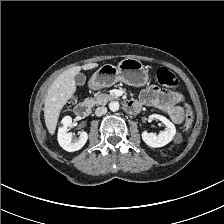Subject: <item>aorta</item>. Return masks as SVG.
Instances as JSON below:
<instances>
[{"label":"aorta","mask_w":224,"mask_h":224,"mask_svg":"<svg viewBox=\"0 0 224 224\" xmlns=\"http://www.w3.org/2000/svg\"><path fill=\"white\" fill-rule=\"evenodd\" d=\"M119 102H117V101H112V102H110V104H109V109L111 110V111H113V112H115V111H118V109H119Z\"/></svg>","instance_id":"762f6f07"}]
</instances>
